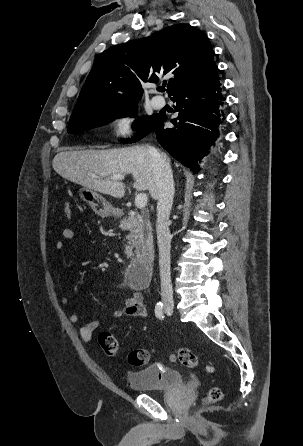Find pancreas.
Masks as SVG:
<instances>
[{
  "mask_svg": "<svg viewBox=\"0 0 303 446\" xmlns=\"http://www.w3.org/2000/svg\"><path fill=\"white\" fill-rule=\"evenodd\" d=\"M119 227L124 231H129L128 244L125 248L127 258L132 259L153 251L152 227L147 214L142 216L130 214L128 218L120 221Z\"/></svg>",
  "mask_w": 303,
  "mask_h": 446,
  "instance_id": "pancreas-1",
  "label": "pancreas"
}]
</instances>
